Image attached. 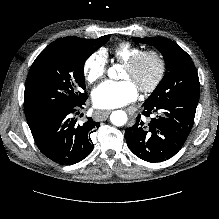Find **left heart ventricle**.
Instances as JSON below:
<instances>
[{
	"label": "left heart ventricle",
	"mask_w": 219,
	"mask_h": 219,
	"mask_svg": "<svg viewBox=\"0 0 219 219\" xmlns=\"http://www.w3.org/2000/svg\"><path fill=\"white\" fill-rule=\"evenodd\" d=\"M157 72L156 60L146 58L135 71H129L124 67L121 79L131 81L137 88L150 84Z\"/></svg>",
	"instance_id": "left-heart-ventricle-1"
}]
</instances>
